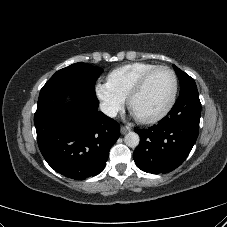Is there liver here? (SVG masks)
I'll return each instance as SVG.
<instances>
[{
	"mask_svg": "<svg viewBox=\"0 0 227 227\" xmlns=\"http://www.w3.org/2000/svg\"><path fill=\"white\" fill-rule=\"evenodd\" d=\"M67 100H70V96L67 97Z\"/></svg>",
	"mask_w": 227,
	"mask_h": 227,
	"instance_id": "6515ba94",
	"label": "liver"
}]
</instances>
